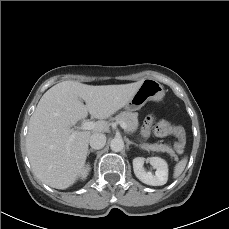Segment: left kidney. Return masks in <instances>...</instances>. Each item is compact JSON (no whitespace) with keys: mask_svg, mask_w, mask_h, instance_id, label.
<instances>
[{"mask_svg":"<svg viewBox=\"0 0 229 229\" xmlns=\"http://www.w3.org/2000/svg\"><path fill=\"white\" fill-rule=\"evenodd\" d=\"M148 161L153 166L155 175L151 172H146L144 170L145 158L136 157L133 159V170L136 177L143 183L152 186H161L166 184L168 180V164L167 162L159 157H150Z\"/></svg>","mask_w":229,"mask_h":229,"instance_id":"left-kidney-1","label":"left kidney"}]
</instances>
